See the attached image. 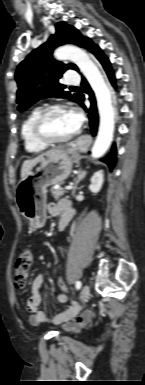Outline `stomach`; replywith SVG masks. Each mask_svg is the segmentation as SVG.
<instances>
[{"label": "stomach", "instance_id": "stomach-1", "mask_svg": "<svg viewBox=\"0 0 145 385\" xmlns=\"http://www.w3.org/2000/svg\"><path fill=\"white\" fill-rule=\"evenodd\" d=\"M73 165L70 151L59 147L46 152L16 186L15 201L19 212L29 221L31 230L46 221L47 187L68 178Z\"/></svg>", "mask_w": 145, "mask_h": 385}]
</instances>
